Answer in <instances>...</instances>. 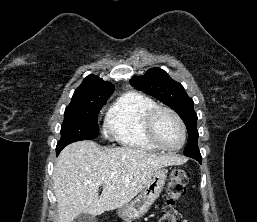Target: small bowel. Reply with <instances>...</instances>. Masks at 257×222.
Segmentation results:
<instances>
[{"label":"small bowel","instance_id":"1","mask_svg":"<svg viewBox=\"0 0 257 222\" xmlns=\"http://www.w3.org/2000/svg\"><path fill=\"white\" fill-rule=\"evenodd\" d=\"M182 222H191L190 220L184 219Z\"/></svg>","mask_w":257,"mask_h":222}]
</instances>
